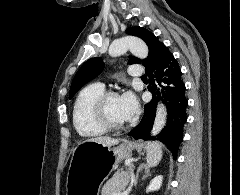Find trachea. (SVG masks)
Segmentation results:
<instances>
[{
  "label": "trachea",
  "instance_id": "obj_1",
  "mask_svg": "<svg viewBox=\"0 0 240 195\" xmlns=\"http://www.w3.org/2000/svg\"><path fill=\"white\" fill-rule=\"evenodd\" d=\"M141 78L143 79V78H147V77H146V75H142V77H141Z\"/></svg>",
  "mask_w": 240,
  "mask_h": 195
}]
</instances>
